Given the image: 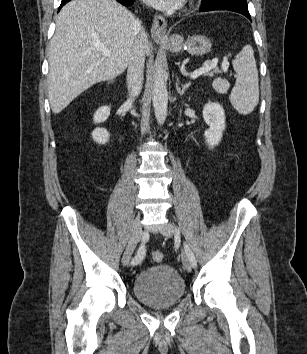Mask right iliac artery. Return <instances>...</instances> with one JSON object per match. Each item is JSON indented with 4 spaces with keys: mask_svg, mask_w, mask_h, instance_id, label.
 <instances>
[{
    "mask_svg": "<svg viewBox=\"0 0 307 354\" xmlns=\"http://www.w3.org/2000/svg\"><path fill=\"white\" fill-rule=\"evenodd\" d=\"M145 252H146L145 245L141 244L135 257L132 259L131 264L132 265L139 264L143 260V258L145 256Z\"/></svg>",
    "mask_w": 307,
    "mask_h": 354,
    "instance_id": "obj_1",
    "label": "right iliac artery"
}]
</instances>
